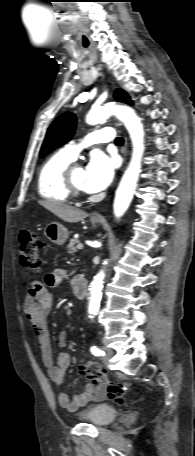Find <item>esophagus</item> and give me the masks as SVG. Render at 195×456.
Here are the masks:
<instances>
[{"mask_svg": "<svg viewBox=\"0 0 195 456\" xmlns=\"http://www.w3.org/2000/svg\"><path fill=\"white\" fill-rule=\"evenodd\" d=\"M127 147H128V143H127V139L125 138V144H124V147H123V154L126 158L127 156ZM92 219L94 220H103L104 217L101 213H95L93 216H92Z\"/></svg>", "mask_w": 195, "mask_h": 456, "instance_id": "esophagus-1", "label": "esophagus"}]
</instances>
